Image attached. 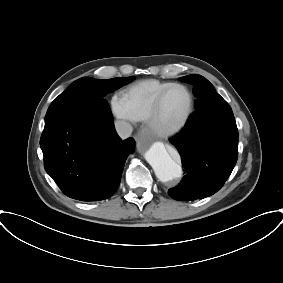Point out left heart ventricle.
<instances>
[{
  "label": "left heart ventricle",
  "instance_id": "left-heart-ventricle-1",
  "mask_svg": "<svg viewBox=\"0 0 283 283\" xmlns=\"http://www.w3.org/2000/svg\"><path fill=\"white\" fill-rule=\"evenodd\" d=\"M189 107V95L182 88L170 90L164 97L157 124L161 128H171L177 125L185 116Z\"/></svg>",
  "mask_w": 283,
  "mask_h": 283
}]
</instances>
